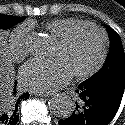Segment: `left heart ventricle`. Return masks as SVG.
<instances>
[{
    "mask_svg": "<svg viewBox=\"0 0 125 125\" xmlns=\"http://www.w3.org/2000/svg\"><path fill=\"white\" fill-rule=\"evenodd\" d=\"M101 51V36L90 28L78 31L66 46L55 45L53 57H60L74 74L85 71L97 61Z\"/></svg>",
    "mask_w": 125,
    "mask_h": 125,
    "instance_id": "1",
    "label": "left heart ventricle"
}]
</instances>
